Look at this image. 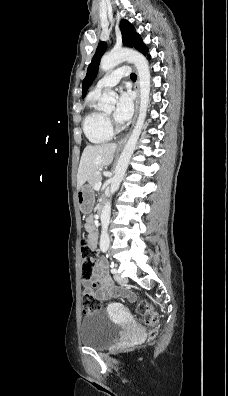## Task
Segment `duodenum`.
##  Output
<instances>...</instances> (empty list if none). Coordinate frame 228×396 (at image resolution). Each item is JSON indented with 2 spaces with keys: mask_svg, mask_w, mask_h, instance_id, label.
<instances>
[{
  "mask_svg": "<svg viewBox=\"0 0 228 396\" xmlns=\"http://www.w3.org/2000/svg\"><path fill=\"white\" fill-rule=\"evenodd\" d=\"M103 209H104V203H102L99 207V216L101 217L103 215Z\"/></svg>",
  "mask_w": 228,
  "mask_h": 396,
  "instance_id": "obj_1",
  "label": "duodenum"
}]
</instances>
